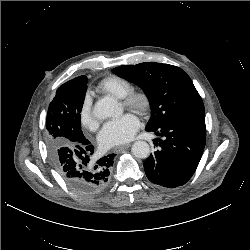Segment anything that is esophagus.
Wrapping results in <instances>:
<instances>
[{
    "label": "esophagus",
    "instance_id": "esophagus-1",
    "mask_svg": "<svg viewBox=\"0 0 250 250\" xmlns=\"http://www.w3.org/2000/svg\"><path fill=\"white\" fill-rule=\"evenodd\" d=\"M130 147V144H125V145H122V146H117L115 148L112 149V151L114 153H119L120 151L124 150V149H127Z\"/></svg>",
    "mask_w": 250,
    "mask_h": 250
}]
</instances>
